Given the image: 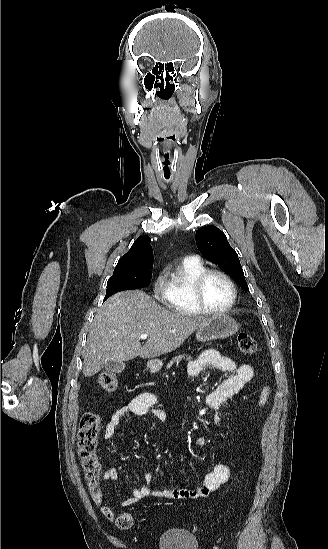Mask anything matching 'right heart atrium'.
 <instances>
[{
  "label": "right heart atrium",
  "instance_id": "d8ad5b80",
  "mask_svg": "<svg viewBox=\"0 0 328 549\" xmlns=\"http://www.w3.org/2000/svg\"><path fill=\"white\" fill-rule=\"evenodd\" d=\"M165 285V270H157L152 277L151 282V295L155 301H158ZM156 303V302H153Z\"/></svg>",
  "mask_w": 328,
  "mask_h": 549
}]
</instances>
